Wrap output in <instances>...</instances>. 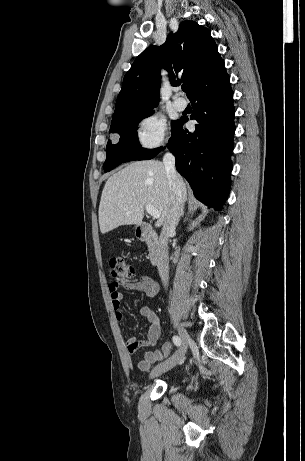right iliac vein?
<instances>
[{"label": "right iliac vein", "mask_w": 305, "mask_h": 461, "mask_svg": "<svg viewBox=\"0 0 305 461\" xmlns=\"http://www.w3.org/2000/svg\"><path fill=\"white\" fill-rule=\"evenodd\" d=\"M179 336L181 339V345L178 350L165 362L157 365L152 372L150 373V378H155L168 370L175 367L177 364L181 363L184 360L188 343L190 342V336L183 327L178 328Z\"/></svg>", "instance_id": "right-iliac-vein-1"}]
</instances>
